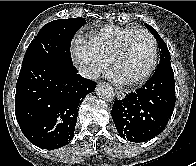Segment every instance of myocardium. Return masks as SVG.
<instances>
[{
    "instance_id": "myocardium-1",
    "label": "myocardium",
    "mask_w": 196,
    "mask_h": 166,
    "mask_svg": "<svg viewBox=\"0 0 196 166\" xmlns=\"http://www.w3.org/2000/svg\"><path fill=\"white\" fill-rule=\"evenodd\" d=\"M138 32L144 33L149 37V39L151 41V46H152V58H151V62L149 64V66L146 68V70L142 74H140L139 76H137L135 78L129 79V80H123V82H125L127 84H138V83L145 81L146 79H148L151 76V74L154 72L156 65H157L158 45H157L155 37L153 36V34L150 31H148L145 28H135L129 34H127L125 36L120 48L118 49L117 53L115 54V56L112 60L113 71L115 73H117V67H118L121 59L124 57V55L127 52L128 45H129V42H130L132 36Z\"/></svg>"
}]
</instances>
